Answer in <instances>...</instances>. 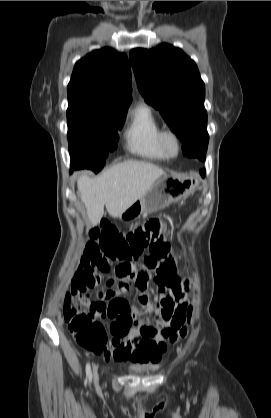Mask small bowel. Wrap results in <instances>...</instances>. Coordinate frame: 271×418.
Masks as SVG:
<instances>
[{
    "label": "small bowel",
    "mask_w": 271,
    "mask_h": 418,
    "mask_svg": "<svg viewBox=\"0 0 271 418\" xmlns=\"http://www.w3.org/2000/svg\"><path fill=\"white\" fill-rule=\"evenodd\" d=\"M167 241L159 238L147 247V254L130 262L119 261L113 267L107 284L108 290L101 289L97 299L84 300L81 305L90 314L96 315L97 323H105L110 343L97 351L105 361L123 362L131 360L136 364H157L166 350L163 330L168 322L163 317L164 310L187 309V285L181 284L176 276L175 259L167 254ZM166 268L159 271L158 262ZM104 263V266H101ZM93 275L96 281L88 285L83 279L73 289L94 287L100 283L105 273L110 272L109 262L100 259L93 263ZM130 283L136 287L142 311L154 313L151 324H141L147 320L145 315L133 316L136 306L132 305L127 292ZM155 284L157 296L150 299L149 287ZM147 329L148 333H143Z\"/></svg>",
    "instance_id": "obj_1"
}]
</instances>
